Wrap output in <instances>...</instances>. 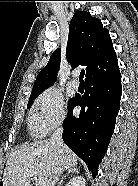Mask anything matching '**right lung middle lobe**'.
Segmentation results:
<instances>
[{
	"mask_svg": "<svg viewBox=\"0 0 138 186\" xmlns=\"http://www.w3.org/2000/svg\"><path fill=\"white\" fill-rule=\"evenodd\" d=\"M39 94H40V93L30 95V99H29L28 105H27L28 108L31 107V104H32L33 100H34ZM71 100H72V99H69V103L71 102Z\"/></svg>",
	"mask_w": 138,
	"mask_h": 186,
	"instance_id": "obj_1",
	"label": "right lung middle lobe"
}]
</instances>
